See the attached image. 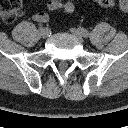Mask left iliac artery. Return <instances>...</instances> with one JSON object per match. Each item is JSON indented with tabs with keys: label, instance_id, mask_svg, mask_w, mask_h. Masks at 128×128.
Here are the masks:
<instances>
[{
	"label": "left iliac artery",
	"instance_id": "obj_1",
	"mask_svg": "<svg viewBox=\"0 0 128 128\" xmlns=\"http://www.w3.org/2000/svg\"><path fill=\"white\" fill-rule=\"evenodd\" d=\"M79 30H80V32H81V34L85 37V38H87L88 36H89V32L85 29V28H79Z\"/></svg>",
	"mask_w": 128,
	"mask_h": 128
}]
</instances>
